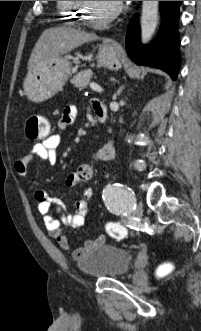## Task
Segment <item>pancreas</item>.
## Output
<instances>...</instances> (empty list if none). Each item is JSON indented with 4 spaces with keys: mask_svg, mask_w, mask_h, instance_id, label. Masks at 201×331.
<instances>
[{
    "mask_svg": "<svg viewBox=\"0 0 201 331\" xmlns=\"http://www.w3.org/2000/svg\"><path fill=\"white\" fill-rule=\"evenodd\" d=\"M91 76H92L91 70L81 71L74 76L72 83L80 90L85 89L89 84Z\"/></svg>",
    "mask_w": 201,
    "mask_h": 331,
    "instance_id": "obj_1",
    "label": "pancreas"
}]
</instances>
